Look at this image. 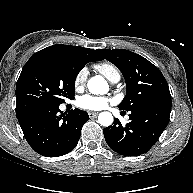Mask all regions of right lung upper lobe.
<instances>
[{
    "instance_id": "cb5924a9",
    "label": "right lung upper lobe",
    "mask_w": 193,
    "mask_h": 193,
    "mask_svg": "<svg viewBox=\"0 0 193 193\" xmlns=\"http://www.w3.org/2000/svg\"><path fill=\"white\" fill-rule=\"evenodd\" d=\"M42 56H62L67 58H72L80 61L91 62V61H99L103 58L99 55L98 50L78 47V46H70L64 44H56L50 47L44 48L35 54L32 55L31 58L34 57H42ZM18 118V117H17Z\"/></svg>"
}]
</instances>
